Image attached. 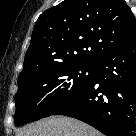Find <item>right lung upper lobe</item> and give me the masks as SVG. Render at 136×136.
Wrapping results in <instances>:
<instances>
[{
  "mask_svg": "<svg viewBox=\"0 0 136 136\" xmlns=\"http://www.w3.org/2000/svg\"><path fill=\"white\" fill-rule=\"evenodd\" d=\"M136 38V19L123 0H65L42 13L18 83L56 65L93 63Z\"/></svg>",
  "mask_w": 136,
  "mask_h": 136,
  "instance_id": "right-lung-upper-lobe-1",
  "label": "right lung upper lobe"
}]
</instances>
